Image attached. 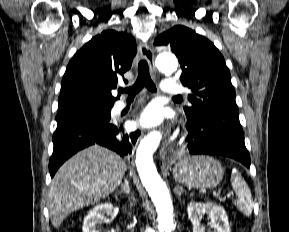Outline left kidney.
Returning a JSON list of instances; mask_svg holds the SVG:
<instances>
[{
  "mask_svg": "<svg viewBox=\"0 0 289 232\" xmlns=\"http://www.w3.org/2000/svg\"><path fill=\"white\" fill-rule=\"evenodd\" d=\"M188 218L193 225V232H205L200 219L207 214L211 219L213 232H231L228 217L223 207L212 202H191L187 207Z\"/></svg>",
  "mask_w": 289,
  "mask_h": 232,
  "instance_id": "5707ae66",
  "label": "left kidney"
}]
</instances>
